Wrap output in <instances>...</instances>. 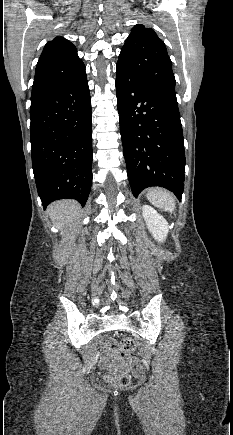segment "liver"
<instances>
[{"mask_svg": "<svg viewBox=\"0 0 233 435\" xmlns=\"http://www.w3.org/2000/svg\"><path fill=\"white\" fill-rule=\"evenodd\" d=\"M79 211V205L75 201L61 200L54 202L48 207L50 217L60 227H68L75 219Z\"/></svg>", "mask_w": 233, "mask_h": 435, "instance_id": "obj_1", "label": "liver"}]
</instances>
